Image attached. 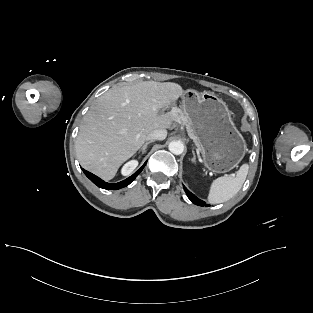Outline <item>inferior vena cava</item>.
<instances>
[{"mask_svg": "<svg viewBox=\"0 0 313 313\" xmlns=\"http://www.w3.org/2000/svg\"><path fill=\"white\" fill-rule=\"evenodd\" d=\"M167 136V131L164 129L154 130L148 134L146 140L155 141V140H164Z\"/></svg>", "mask_w": 313, "mask_h": 313, "instance_id": "1", "label": "inferior vena cava"}]
</instances>
